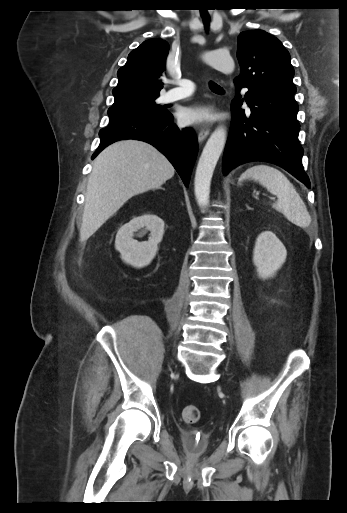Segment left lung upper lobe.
I'll use <instances>...</instances> for the list:
<instances>
[{"label":"left lung upper lobe","mask_w":347,"mask_h":513,"mask_svg":"<svg viewBox=\"0 0 347 513\" xmlns=\"http://www.w3.org/2000/svg\"><path fill=\"white\" fill-rule=\"evenodd\" d=\"M237 58L241 67L234 79L237 86L296 92L290 55L276 37L263 30L240 33Z\"/></svg>","instance_id":"left-lung-upper-lobe-1"}]
</instances>
